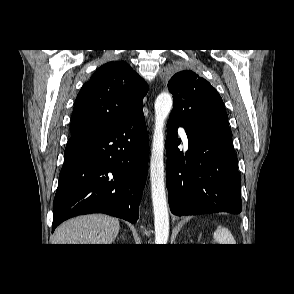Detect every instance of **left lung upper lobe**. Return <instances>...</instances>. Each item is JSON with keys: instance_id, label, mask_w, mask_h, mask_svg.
<instances>
[{"instance_id": "left-lung-upper-lobe-1", "label": "left lung upper lobe", "mask_w": 294, "mask_h": 294, "mask_svg": "<svg viewBox=\"0 0 294 294\" xmlns=\"http://www.w3.org/2000/svg\"><path fill=\"white\" fill-rule=\"evenodd\" d=\"M168 88L174 97L169 118L186 129L232 134L221 96L204 78L183 70L172 76Z\"/></svg>"}]
</instances>
